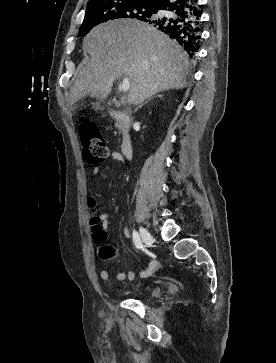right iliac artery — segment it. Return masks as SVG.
<instances>
[{"instance_id":"1","label":"right iliac artery","mask_w":276,"mask_h":363,"mask_svg":"<svg viewBox=\"0 0 276 363\" xmlns=\"http://www.w3.org/2000/svg\"><path fill=\"white\" fill-rule=\"evenodd\" d=\"M133 242H134L135 247L137 249L143 248V244H142V241L140 239V236L136 231H133Z\"/></svg>"}]
</instances>
